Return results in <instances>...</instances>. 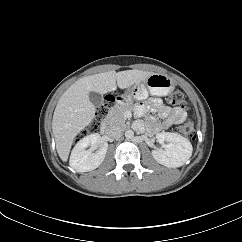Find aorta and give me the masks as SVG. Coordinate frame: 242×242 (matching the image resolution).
Instances as JSON below:
<instances>
[{"label":"aorta","mask_w":242,"mask_h":242,"mask_svg":"<svg viewBox=\"0 0 242 242\" xmlns=\"http://www.w3.org/2000/svg\"><path fill=\"white\" fill-rule=\"evenodd\" d=\"M125 137L126 139H132L134 137V132L131 129H128L125 131Z\"/></svg>","instance_id":"aorta-1"}]
</instances>
